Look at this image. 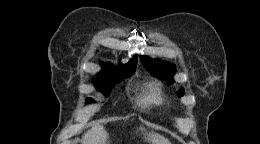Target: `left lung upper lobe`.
I'll use <instances>...</instances> for the list:
<instances>
[{
	"label": "left lung upper lobe",
	"mask_w": 260,
	"mask_h": 144,
	"mask_svg": "<svg viewBox=\"0 0 260 144\" xmlns=\"http://www.w3.org/2000/svg\"><path fill=\"white\" fill-rule=\"evenodd\" d=\"M143 65L149 70L152 76L165 80L167 83L174 82L173 76L176 72L175 65L161 60H153L147 56H140ZM178 96H183L184 89L178 91Z\"/></svg>",
	"instance_id": "5c2ea615"
}]
</instances>
